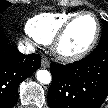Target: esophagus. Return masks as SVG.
I'll list each match as a JSON object with an SVG mask.
<instances>
[{
  "label": "esophagus",
  "instance_id": "obj_1",
  "mask_svg": "<svg viewBox=\"0 0 108 108\" xmlns=\"http://www.w3.org/2000/svg\"><path fill=\"white\" fill-rule=\"evenodd\" d=\"M41 66L43 68H49L50 67V61L46 57H43L41 59Z\"/></svg>",
  "mask_w": 108,
  "mask_h": 108
}]
</instances>
